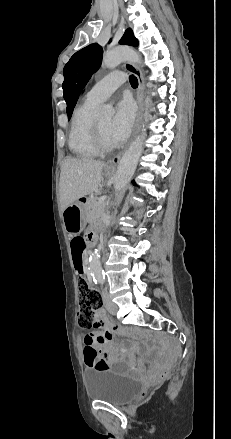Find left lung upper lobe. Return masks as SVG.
<instances>
[{
	"mask_svg": "<svg viewBox=\"0 0 231 439\" xmlns=\"http://www.w3.org/2000/svg\"><path fill=\"white\" fill-rule=\"evenodd\" d=\"M120 44L137 46L138 41L131 29H127L119 41ZM103 49L97 44H90L76 52L63 70L64 82L62 85L64 99L67 103L68 120L71 118L78 96L92 74L96 72L102 62Z\"/></svg>",
	"mask_w": 231,
	"mask_h": 439,
	"instance_id": "5c2ea615",
	"label": "left lung upper lobe"
}]
</instances>
